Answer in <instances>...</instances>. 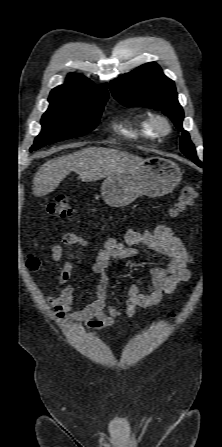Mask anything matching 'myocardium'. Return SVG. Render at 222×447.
Wrapping results in <instances>:
<instances>
[{
    "mask_svg": "<svg viewBox=\"0 0 222 447\" xmlns=\"http://www.w3.org/2000/svg\"><path fill=\"white\" fill-rule=\"evenodd\" d=\"M149 125L156 135L164 136L172 131L170 120L162 114H154L149 118Z\"/></svg>",
    "mask_w": 222,
    "mask_h": 447,
    "instance_id": "1",
    "label": "myocardium"
}]
</instances>
